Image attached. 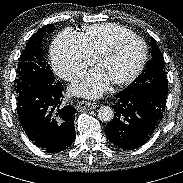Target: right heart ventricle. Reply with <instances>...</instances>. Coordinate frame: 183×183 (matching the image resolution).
I'll use <instances>...</instances> for the list:
<instances>
[{
    "instance_id": "e07e8e85",
    "label": "right heart ventricle",
    "mask_w": 183,
    "mask_h": 183,
    "mask_svg": "<svg viewBox=\"0 0 183 183\" xmlns=\"http://www.w3.org/2000/svg\"><path fill=\"white\" fill-rule=\"evenodd\" d=\"M79 35L84 49L94 59L117 39L135 34L120 25L101 24L89 26Z\"/></svg>"
}]
</instances>
